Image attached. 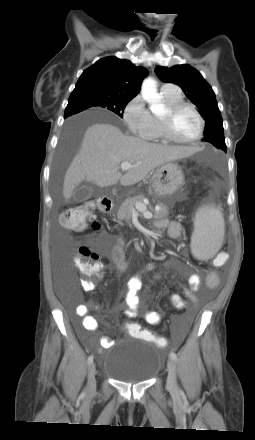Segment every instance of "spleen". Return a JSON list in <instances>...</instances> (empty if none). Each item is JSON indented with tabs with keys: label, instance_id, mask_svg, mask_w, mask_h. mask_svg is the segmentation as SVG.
Instances as JSON below:
<instances>
[{
	"label": "spleen",
	"instance_id": "spleen-1",
	"mask_svg": "<svg viewBox=\"0 0 255 440\" xmlns=\"http://www.w3.org/2000/svg\"><path fill=\"white\" fill-rule=\"evenodd\" d=\"M194 225L191 252L199 260H208L222 245L225 227L223 215L213 206L201 207L195 214Z\"/></svg>",
	"mask_w": 255,
	"mask_h": 440
}]
</instances>
